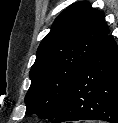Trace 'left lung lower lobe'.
I'll return each mask as SVG.
<instances>
[{"label": "left lung lower lobe", "instance_id": "obj_1", "mask_svg": "<svg viewBox=\"0 0 118 123\" xmlns=\"http://www.w3.org/2000/svg\"><path fill=\"white\" fill-rule=\"evenodd\" d=\"M87 119L118 123V46L111 35L78 74L54 123Z\"/></svg>", "mask_w": 118, "mask_h": 123}]
</instances>
